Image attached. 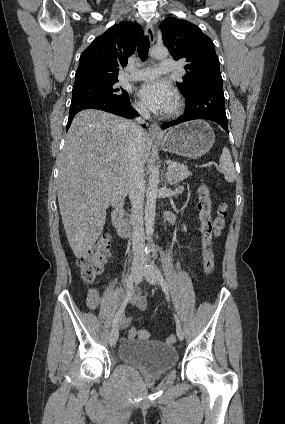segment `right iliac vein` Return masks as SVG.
Wrapping results in <instances>:
<instances>
[{
    "instance_id": "right-iliac-vein-1",
    "label": "right iliac vein",
    "mask_w": 285,
    "mask_h": 424,
    "mask_svg": "<svg viewBox=\"0 0 285 424\" xmlns=\"http://www.w3.org/2000/svg\"><path fill=\"white\" fill-rule=\"evenodd\" d=\"M142 258H135L132 265V275L133 281L137 284L140 281V266H141ZM119 337L118 328L112 329L109 337V343L111 347H114L117 343Z\"/></svg>"
}]
</instances>
